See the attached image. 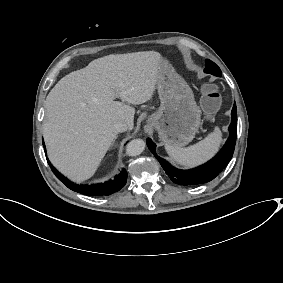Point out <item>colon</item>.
I'll list each match as a JSON object with an SVG mask.
<instances>
[{
  "instance_id": "obj_1",
  "label": "colon",
  "mask_w": 283,
  "mask_h": 283,
  "mask_svg": "<svg viewBox=\"0 0 283 283\" xmlns=\"http://www.w3.org/2000/svg\"><path fill=\"white\" fill-rule=\"evenodd\" d=\"M201 105L207 115H213L221 106V95L213 84H204L201 88Z\"/></svg>"
}]
</instances>
